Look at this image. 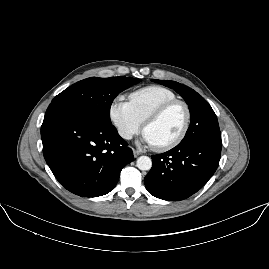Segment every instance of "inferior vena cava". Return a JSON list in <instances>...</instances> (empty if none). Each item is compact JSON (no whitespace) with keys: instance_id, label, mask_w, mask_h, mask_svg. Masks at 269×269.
Masks as SVG:
<instances>
[{"instance_id":"obj_1","label":"inferior vena cava","mask_w":269,"mask_h":269,"mask_svg":"<svg viewBox=\"0 0 269 269\" xmlns=\"http://www.w3.org/2000/svg\"><path fill=\"white\" fill-rule=\"evenodd\" d=\"M121 137H123L125 139H132L133 133L132 132H128V134H122Z\"/></svg>"}]
</instances>
